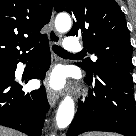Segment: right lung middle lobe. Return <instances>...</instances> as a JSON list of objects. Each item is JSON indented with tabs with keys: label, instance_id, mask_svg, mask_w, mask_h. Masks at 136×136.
<instances>
[{
	"label": "right lung middle lobe",
	"instance_id": "obj_1",
	"mask_svg": "<svg viewBox=\"0 0 136 136\" xmlns=\"http://www.w3.org/2000/svg\"><path fill=\"white\" fill-rule=\"evenodd\" d=\"M11 64H0V74H6L9 72Z\"/></svg>",
	"mask_w": 136,
	"mask_h": 136
}]
</instances>
